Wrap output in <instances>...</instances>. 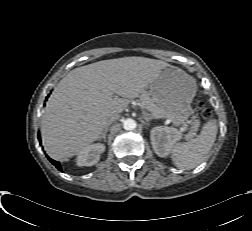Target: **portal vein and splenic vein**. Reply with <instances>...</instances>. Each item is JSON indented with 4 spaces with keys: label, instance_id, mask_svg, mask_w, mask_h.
<instances>
[{
    "label": "portal vein and splenic vein",
    "instance_id": "obj_1",
    "mask_svg": "<svg viewBox=\"0 0 252 231\" xmlns=\"http://www.w3.org/2000/svg\"><path fill=\"white\" fill-rule=\"evenodd\" d=\"M141 107L147 109V108H146L144 105H142V104H141ZM180 131H181V132H186V131H187V126H186V125L181 126V127H180Z\"/></svg>",
    "mask_w": 252,
    "mask_h": 231
}]
</instances>
